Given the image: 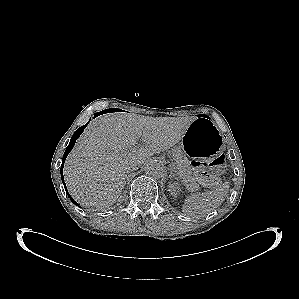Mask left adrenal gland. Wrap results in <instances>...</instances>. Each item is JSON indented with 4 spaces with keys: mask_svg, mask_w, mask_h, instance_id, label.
<instances>
[{
    "mask_svg": "<svg viewBox=\"0 0 299 299\" xmlns=\"http://www.w3.org/2000/svg\"><path fill=\"white\" fill-rule=\"evenodd\" d=\"M174 172V169L171 167L170 168V178H172V177H176V174L175 173H173Z\"/></svg>",
    "mask_w": 299,
    "mask_h": 299,
    "instance_id": "1",
    "label": "left adrenal gland"
}]
</instances>
